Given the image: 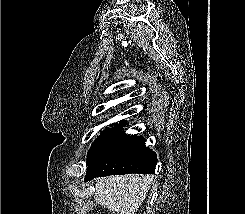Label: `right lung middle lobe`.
<instances>
[{"mask_svg": "<svg viewBox=\"0 0 245 214\" xmlns=\"http://www.w3.org/2000/svg\"><path fill=\"white\" fill-rule=\"evenodd\" d=\"M126 138L122 130L100 135L88 151L86 177L116 169L119 163L118 146Z\"/></svg>", "mask_w": 245, "mask_h": 214, "instance_id": "right-lung-middle-lobe-1", "label": "right lung middle lobe"}]
</instances>
